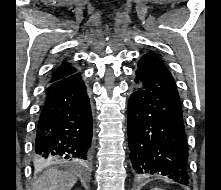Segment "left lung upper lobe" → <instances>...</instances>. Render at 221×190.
<instances>
[{"mask_svg":"<svg viewBox=\"0 0 221 190\" xmlns=\"http://www.w3.org/2000/svg\"><path fill=\"white\" fill-rule=\"evenodd\" d=\"M145 55H151V56H153V57L159 59V60L162 62V60H161L154 52H152V51H149V53H147V54H145Z\"/></svg>","mask_w":221,"mask_h":190,"instance_id":"1","label":"left lung upper lobe"}]
</instances>
